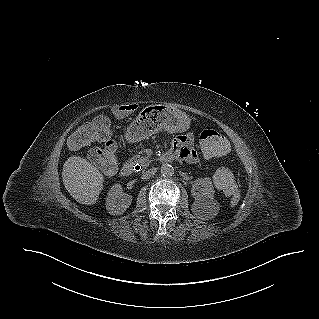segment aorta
<instances>
[{
	"instance_id": "aorta-1",
	"label": "aorta",
	"mask_w": 319,
	"mask_h": 319,
	"mask_svg": "<svg viewBox=\"0 0 319 319\" xmlns=\"http://www.w3.org/2000/svg\"><path fill=\"white\" fill-rule=\"evenodd\" d=\"M160 172L163 177H171L174 174V168L170 164H163L160 168Z\"/></svg>"
}]
</instances>
